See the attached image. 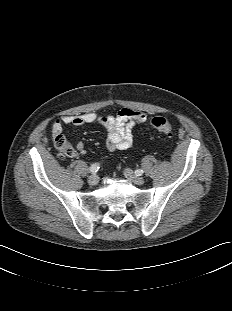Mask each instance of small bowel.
Listing matches in <instances>:
<instances>
[{"mask_svg": "<svg viewBox=\"0 0 232 311\" xmlns=\"http://www.w3.org/2000/svg\"><path fill=\"white\" fill-rule=\"evenodd\" d=\"M146 120L147 115L144 112L123 108L116 116H101L93 112L77 116L66 115L56 119L52 123L51 129L53 135L57 136L62 134L64 125L80 127L85 124L97 123L106 131V148L108 150H126L133 145V128ZM84 148L83 142L77 144L79 152H83Z\"/></svg>", "mask_w": 232, "mask_h": 311, "instance_id": "small-bowel-1", "label": "small bowel"}]
</instances>
